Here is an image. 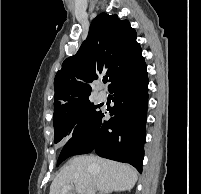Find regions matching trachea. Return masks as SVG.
<instances>
[{
	"label": "trachea",
	"mask_w": 201,
	"mask_h": 194,
	"mask_svg": "<svg viewBox=\"0 0 201 194\" xmlns=\"http://www.w3.org/2000/svg\"><path fill=\"white\" fill-rule=\"evenodd\" d=\"M108 81V77L103 78V82L106 83Z\"/></svg>",
	"instance_id": "1"
}]
</instances>
